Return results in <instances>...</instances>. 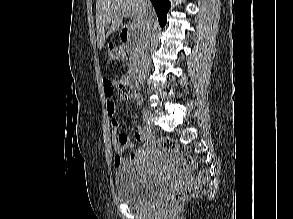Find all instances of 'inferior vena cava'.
Masks as SVG:
<instances>
[{
    "label": "inferior vena cava",
    "instance_id": "1",
    "mask_svg": "<svg viewBox=\"0 0 293 219\" xmlns=\"http://www.w3.org/2000/svg\"><path fill=\"white\" fill-rule=\"evenodd\" d=\"M146 7H151L150 0H143ZM153 21L149 16H146V21L144 28L140 34V44H139V61L137 74L139 77L143 78L148 73L150 68V58H149V44L152 32Z\"/></svg>",
    "mask_w": 293,
    "mask_h": 219
}]
</instances>
